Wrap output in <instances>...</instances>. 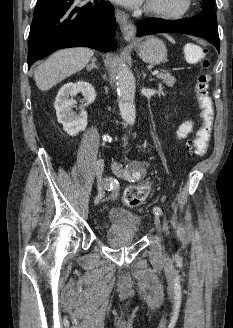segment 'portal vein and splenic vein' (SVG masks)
I'll return each mask as SVG.
<instances>
[{
	"label": "portal vein and splenic vein",
	"mask_w": 233,
	"mask_h": 328,
	"mask_svg": "<svg viewBox=\"0 0 233 328\" xmlns=\"http://www.w3.org/2000/svg\"><path fill=\"white\" fill-rule=\"evenodd\" d=\"M152 74H153V75H159L160 72H159L158 70H156V71H154Z\"/></svg>",
	"instance_id": "1"
}]
</instances>
